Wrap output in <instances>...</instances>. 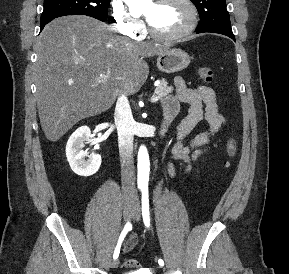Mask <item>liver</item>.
I'll use <instances>...</instances> for the list:
<instances>
[{
    "label": "liver",
    "instance_id": "6515ba94",
    "mask_svg": "<svg viewBox=\"0 0 289 274\" xmlns=\"http://www.w3.org/2000/svg\"><path fill=\"white\" fill-rule=\"evenodd\" d=\"M35 49L40 123L56 142L80 120L108 110L120 93H136L149 74L143 58L168 47L130 41L105 23L74 15L47 24Z\"/></svg>",
    "mask_w": 289,
    "mask_h": 274
}]
</instances>
